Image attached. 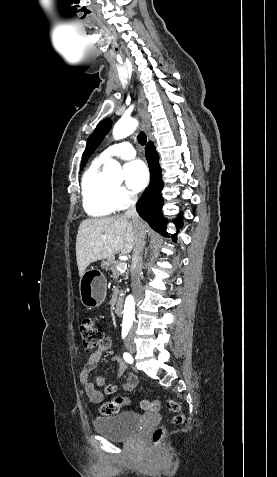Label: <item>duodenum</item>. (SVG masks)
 <instances>
[{
    "instance_id": "410a0bca",
    "label": "duodenum",
    "mask_w": 277,
    "mask_h": 477,
    "mask_svg": "<svg viewBox=\"0 0 277 477\" xmlns=\"http://www.w3.org/2000/svg\"><path fill=\"white\" fill-rule=\"evenodd\" d=\"M114 309H115V313L117 315H119V316L122 315V313H123V301L121 299H118L116 301Z\"/></svg>"
}]
</instances>
